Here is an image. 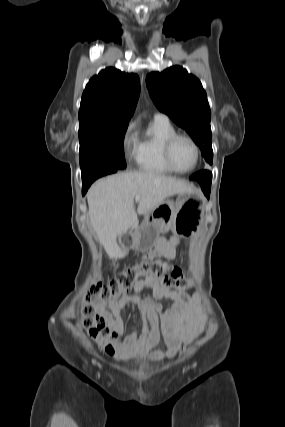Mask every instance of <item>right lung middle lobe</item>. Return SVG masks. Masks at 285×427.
<instances>
[{"instance_id":"right-lung-middle-lobe-1","label":"right lung middle lobe","mask_w":285,"mask_h":427,"mask_svg":"<svg viewBox=\"0 0 285 427\" xmlns=\"http://www.w3.org/2000/svg\"><path fill=\"white\" fill-rule=\"evenodd\" d=\"M128 121H79L82 178L110 168L126 167L123 139Z\"/></svg>"}]
</instances>
